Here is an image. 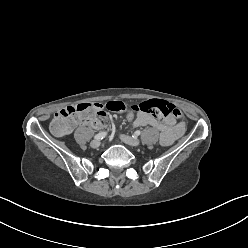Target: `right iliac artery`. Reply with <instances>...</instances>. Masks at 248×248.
<instances>
[{
	"label": "right iliac artery",
	"mask_w": 248,
	"mask_h": 248,
	"mask_svg": "<svg viewBox=\"0 0 248 248\" xmlns=\"http://www.w3.org/2000/svg\"><path fill=\"white\" fill-rule=\"evenodd\" d=\"M106 134H107L106 132H100L96 134L94 138L100 140L103 139L106 136Z\"/></svg>",
	"instance_id": "1"
}]
</instances>
